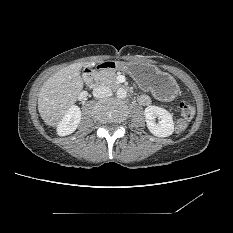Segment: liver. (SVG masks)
I'll return each instance as SVG.
<instances>
[{
	"instance_id": "obj_1",
	"label": "liver",
	"mask_w": 233,
	"mask_h": 233,
	"mask_svg": "<svg viewBox=\"0 0 233 233\" xmlns=\"http://www.w3.org/2000/svg\"><path fill=\"white\" fill-rule=\"evenodd\" d=\"M84 63H74L49 77L38 94V111L43 121L58 126L63 116L72 107L83 89L80 76Z\"/></svg>"
}]
</instances>
